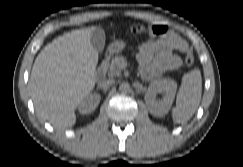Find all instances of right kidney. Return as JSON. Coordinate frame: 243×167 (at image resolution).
Instances as JSON below:
<instances>
[{
    "instance_id": "ca27d5eb",
    "label": "right kidney",
    "mask_w": 243,
    "mask_h": 167,
    "mask_svg": "<svg viewBox=\"0 0 243 167\" xmlns=\"http://www.w3.org/2000/svg\"><path fill=\"white\" fill-rule=\"evenodd\" d=\"M100 102V95L91 94L86 96L79 104L78 109L81 114H87L95 110Z\"/></svg>"
}]
</instances>
